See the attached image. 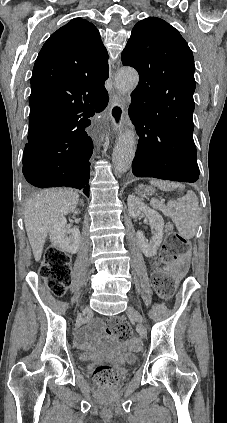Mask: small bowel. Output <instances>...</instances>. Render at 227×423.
I'll list each match as a JSON object with an SVG mask.
<instances>
[{"label":"small bowel","mask_w":227,"mask_h":423,"mask_svg":"<svg viewBox=\"0 0 227 423\" xmlns=\"http://www.w3.org/2000/svg\"><path fill=\"white\" fill-rule=\"evenodd\" d=\"M186 268H187V263H186L185 257L181 259L180 261H178L176 264L172 265V269L176 273H183L185 272ZM89 334H90L89 327L80 329L76 335V344L79 347H86L88 345ZM134 343H137V341H134Z\"/></svg>","instance_id":"c3829d8e"}]
</instances>
